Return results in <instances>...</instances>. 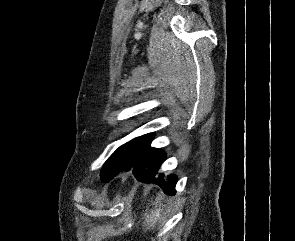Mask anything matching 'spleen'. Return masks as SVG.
Here are the masks:
<instances>
[{
	"instance_id": "1",
	"label": "spleen",
	"mask_w": 295,
	"mask_h": 241,
	"mask_svg": "<svg viewBox=\"0 0 295 241\" xmlns=\"http://www.w3.org/2000/svg\"><path fill=\"white\" fill-rule=\"evenodd\" d=\"M162 212L163 208H161V206L157 208L156 206L155 210H152L150 214L146 215L144 224L148 226V228L154 227L155 223L162 219Z\"/></svg>"
}]
</instances>
